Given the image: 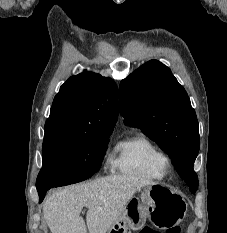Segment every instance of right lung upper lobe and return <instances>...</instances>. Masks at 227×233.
Returning a JSON list of instances; mask_svg holds the SVG:
<instances>
[{
    "label": "right lung upper lobe",
    "instance_id": "obj_1",
    "mask_svg": "<svg viewBox=\"0 0 227 233\" xmlns=\"http://www.w3.org/2000/svg\"><path fill=\"white\" fill-rule=\"evenodd\" d=\"M118 111L115 82L99 74L84 72L70 77L60 87L45 123V134H106L113 131Z\"/></svg>",
    "mask_w": 227,
    "mask_h": 233
}]
</instances>
